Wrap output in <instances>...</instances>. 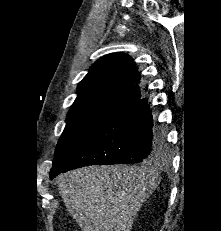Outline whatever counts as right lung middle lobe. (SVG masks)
<instances>
[{"label": "right lung middle lobe", "mask_w": 221, "mask_h": 231, "mask_svg": "<svg viewBox=\"0 0 221 231\" xmlns=\"http://www.w3.org/2000/svg\"><path fill=\"white\" fill-rule=\"evenodd\" d=\"M130 103L122 98L96 97L73 104L57 144L51 171L64 166L110 118Z\"/></svg>", "instance_id": "1"}]
</instances>
